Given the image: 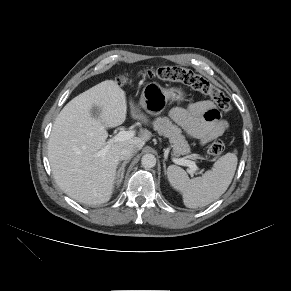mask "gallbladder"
Wrapping results in <instances>:
<instances>
[{"instance_id":"obj_1","label":"gallbladder","mask_w":291,"mask_h":291,"mask_svg":"<svg viewBox=\"0 0 291 291\" xmlns=\"http://www.w3.org/2000/svg\"><path fill=\"white\" fill-rule=\"evenodd\" d=\"M91 114L94 118H98L100 115V109L97 106H94L91 110Z\"/></svg>"}]
</instances>
